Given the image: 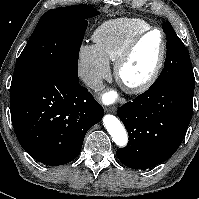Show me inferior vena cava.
Returning a JSON list of instances; mask_svg holds the SVG:
<instances>
[{
	"instance_id": "602c4592",
	"label": "inferior vena cava",
	"mask_w": 199,
	"mask_h": 199,
	"mask_svg": "<svg viewBox=\"0 0 199 199\" xmlns=\"http://www.w3.org/2000/svg\"><path fill=\"white\" fill-rule=\"evenodd\" d=\"M82 79L85 84L92 89H100L103 86V80L101 77L93 75L89 72H82Z\"/></svg>"
}]
</instances>
